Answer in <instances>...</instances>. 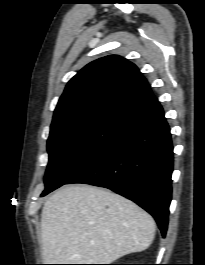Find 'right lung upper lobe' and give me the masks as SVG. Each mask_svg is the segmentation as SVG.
I'll list each match as a JSON object with an SVG mask.
<instances>
[{"instance_id": "right-lung-upper-lobe-1", "label": "right lung upper lobe", "mask_w": 205, "mask_h": 265, "mask_svg": "<svg viewBox=\"0 0 205 265\" xmlns=\"http://www.w3.org/2000/svg\"><path fill=\"white\" fill-rule=\"evenodd\" d=\"M157 103L139 69L118 55L86 65L67 84L50 133L100 122L125 125Z\"/></svg>"}]
</instances>
